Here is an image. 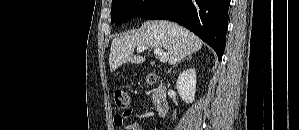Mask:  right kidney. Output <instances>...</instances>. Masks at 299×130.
I'll return each instance as SVG.
<instances>
[{
  "label": "right kidney",
  "mask_w": 299,
  "mask_h": 130,
  "mask_svg": "<svg viewBox=\"0 0 299 130\" xmlns=\"http://www.w3.org/2000/svg\"><path fill=\"white\" fill-rule=\"evenodd\" d=\"M177 91L186 103H192L196 92V71L192 68L184 70L177 79Z\"/></svg>",
  "instance_id": "1"
}]
</instances>
